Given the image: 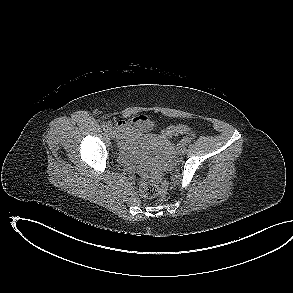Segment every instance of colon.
Wrapping results in <instances>:
<instances>
[{
  "mask_svg": "<svg viewBox=\"0 0 293 293\" xmlns=\"http://www.w3.org/2000/svg\"><path fill=\"white\" fill-rule=\"evenodd\" d=\"M178 134L193 135V131L186 125H177L169 127L165 132V136H173ZM168 183L164 179H156L154 181L143 182L140 186L141 194L146 198L160 197L165 198L167 194Z\"/></svg>",
  "mask_w": 293,
  "mask_h": 293,
  "instance_id": "colon-1",
  "label": "colon"
}]
</instances>
